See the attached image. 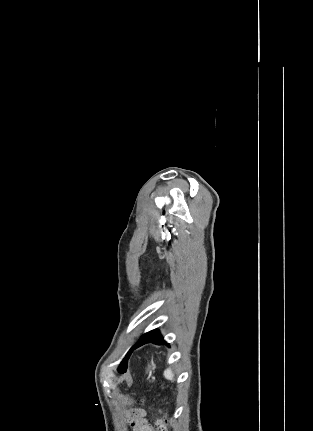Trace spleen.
<instances>
[{
	"instance_id": "3e777b00",
	"label": "spleen",
	"mask_w": 313,
	"mask_h": 431,
	"mask_svg": "<svg viewBox=\"0 0 313 431\" xmlns=\"http://www.w3.org/2000/svg\"><path fill=\"white\" fill-rule=\"evenodd\" d=\"M164 376H165V378H167L168 380L173 381L174 374H173V372H172L171 368H168V369H166V370L164 371Z\"/></svg>"
}]
</instances>
